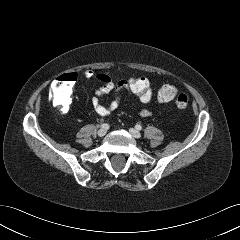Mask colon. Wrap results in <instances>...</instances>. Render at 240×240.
<instances>
[{
    "instance_id": "1",
    "label": "colon",
    "mask_w": 240,
    "mask_h": 240,
    "mask_svg": "<svg viewBox=\"0 0 240 240\" xmlns=\"http://www.w3.org/2000/svg\"><path fill=\"white\" fill-rule=\"evenodd\" d=\"M97 78L101 82H107L110 79L107 75H98ZM75 80V74L69 73L61 75L53 82V103L62 111L69 108ZM125 84L129 94L137 97L143 103H148L151 100H157L160 103L174 102L179 109H186L189 105L188 96L179 92L178 88L172 84H163L154 88L150 80L141 75L130 76L125 80Z\"/></svg>"
}]
</instances>
